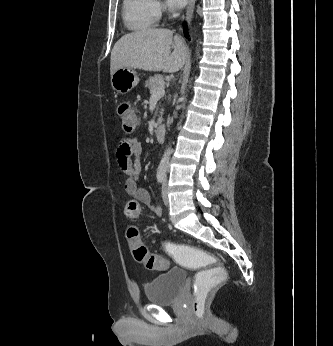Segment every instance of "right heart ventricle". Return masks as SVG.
<instances>
[{
  "label": "right heart ventricle",
  "instance_id": "obj_1",
  "mask_svg": "<svg viewBox=\"0 0 333 346\" xmlns=\"http://www.w3.org/2000/svg\"><path fill=\"white\" fill-rule=\"evenodd\" d=\"M122 16L126 27L133 31L149 29L156 21L151 0H123Z\"/></svg>",
  "mask_w": 333,
  "mask_h": 346
}]
</instances>
